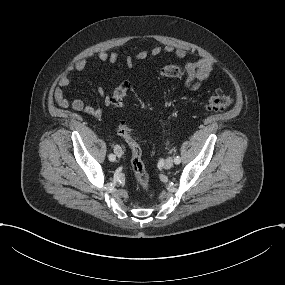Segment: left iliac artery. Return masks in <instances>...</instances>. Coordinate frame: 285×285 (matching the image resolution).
I'll list each match as a JSON object with an SVG mask.
<instances>
[{
  "instance_id": "44dca946",
  "label": "left iliac artery",
  "mask_w": 285,
  "mask_h": 285,
  "mask_svg": "<svg viewBox=\"0 0 285 285\" xmlns=\"http://www.w3.org/2000/svg\"><path fill=\"white\" fill-rule=\"evenodd\" d=\"M175 164H179L181 162V159L179 156H176L174 159Z\"/></svg>"
}]
</instances>
